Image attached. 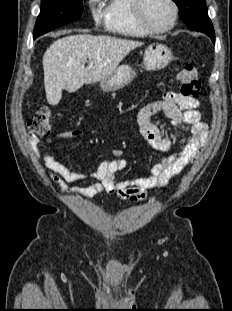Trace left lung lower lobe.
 I'll list each match as a JSON object with an SVG mask.
<instances>
[{"label":"left lung lower lobe","instance_id":"0a47b994","mask_svg":"<svg viewBox=\"0 0 232 311\" xmlns=\"http://www.w3.org/2000/svg\"><path fill=\"white\" fill-rule=\"evenodd\" d=\"M192 30H196V31L205 33L206 35H208L211 38V40L215 44L214 29H213V25H212L210 19H208L203 25H199Z\"/></svg>","mask_w":232,"mask_h":311}]
</instances>
